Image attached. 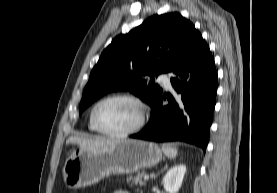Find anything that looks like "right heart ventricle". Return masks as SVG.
<instances>
[{
  "label": "right heart ventricle",
  "instance_id": "e07e8e85",
  "mask_svg": "<svg viewBox=\"0 0 277 193\" xmlns=\"http://www.w3.org/2000/svg\"><path fill=\"white\" fill-rule=\"evenodd\" d=\"M88 129H89L91 132H97V130H96V129L94 128V126L92 125L90 118H89V122H88Z\"/></svg>",
  "mask_w": 277,
  "mask_h": 193
}]
</instances>
